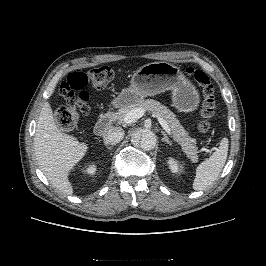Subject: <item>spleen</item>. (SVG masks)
Segmentation results:
<instances>
[{
	"mask_svg": "<svg viewBox=\"0 0 266 266\" xmlns=\"http://www.w3.org/2000/svg\"><path fill=\"white\" fill-rule=\"evenodd\" d=\"M228 143V139L226 137L223 138L217 151H215L209 159L198 165L193 182L194 190H204L217 179L227 159Z\"/></svg>",
	"mask_w": 266,
	"mask_h": 266,
	"instance_id": "1",
	"label": "spleen"
}]
</instances>
